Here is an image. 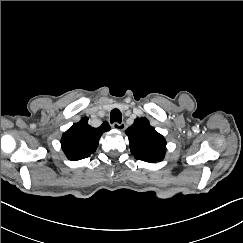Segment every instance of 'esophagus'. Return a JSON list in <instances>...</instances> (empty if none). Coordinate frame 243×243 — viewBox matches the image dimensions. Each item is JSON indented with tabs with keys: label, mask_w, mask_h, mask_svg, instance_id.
Masks as SVG:
<instances>
[{
	"label": "esophagus",
	"mask_w": 243,
	"mask_h": 243,
	"mask_svg": "<svg viewBox=\"0 0 243 243\" xmlns=\"http://www.w3.org/2000/svg\"><path fill=\"white\" fill-rule=\"evenodd\" d=\"M112 127L116 130H120V131H123L125 129V123H117V122H114L112 124Z\"/></svg>",
	"instance_id": "34e87169"
}]
</instances>
